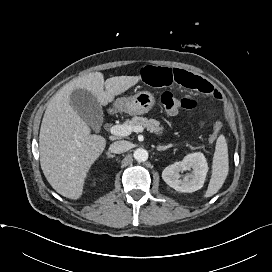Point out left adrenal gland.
<instances>
[{"mask_svg": "<svg viewBox=\"0 0 272 272\" xmlns=\"http://www.w3.org/2000/svg\"><path fill=\"white\" fill-rule=\"evenodd\" d=\"M170 147H172L171 144H169V145H167V146H158V147H157V150H158V151H163V150H166V149H168V148H170Z\"/></svg>", "mask_w": 272, "mask_h": 272, "instance_id": "obj_1", "label": "left adrenal gland"}]
</instances>
